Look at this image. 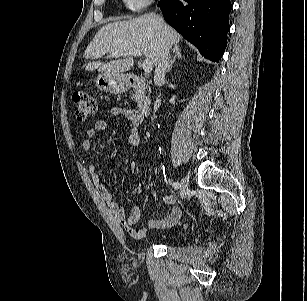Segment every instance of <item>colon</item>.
<instances>
[{
	"label": "colon",
	"instance_id": "1",
	"mask_svg": "<svg viewBox=\"0 0 307 301\" xmlns=\"http://www.w3.org/2000/svg\"><path fill=\"white\" fill-rule=\"evenodd\" d=\"M75 115L79 120H86L97 111L96 99L86 92H76L73 95Z\"/></svg>",
	"mask_w": 307,
	"mask_h": 301
}]
</instances>
